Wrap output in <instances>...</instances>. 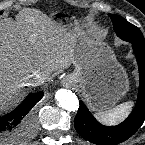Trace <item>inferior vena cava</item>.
<instances>
[{
    "instance_id": "inferior-vena-cava-1",
    "label": "inferior vena cava",
    "mask_w": 145,
    "mask_h": 145,
    "mask_svg": "<svg viewBox=\"0 0 145 145\" xmlns=\"http://www.w3.org/2000/svg\"><path fill=\"white\" fill-rule=\"evenodd\" d=\"M45 80H46L45 75H42L39 72H34L25 78L24 83L26 85H32V83H34L36 85H41L45 82Z\"/></svg>"
}]
</instances>
